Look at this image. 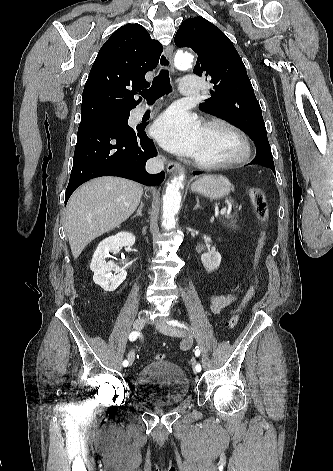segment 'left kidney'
Masks as SVG:
<instances>
[{
    "instance_id": "left-kidney-1",
    "label": "left kidney",
    "mask_w": 333,
    "mask_h": 471,
    "mask_svg": "<svg viewBox=\"0 0 333 471\" xmlns=\"http://www.w3.org/2000/svg\"><path fill=\"white\" fill-rule=\"evenodd\" d=\"M221 259V254L216 250H211L201 256V261L208 272L216 270L220 266Z\"/></svg>"
}]
</instances>
